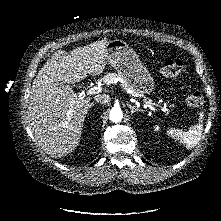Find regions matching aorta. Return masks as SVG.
<instances>
[{"label": "aorta", "instance_id": "aorta-1", "mask_svg": "<svg viewBox=\"0 0 221 221\" xmlns=\"http://www.w3.org/2000/svg\"><path fill=\"white\" fill-rule=\"evenodd\" d=\"M109 117H110V120L114 123L120 122L123 118L122 110L118 107L112 108L110 111Z\"/></svg>", "mask_w": 221, "mask_h": 221}]
</instances>
